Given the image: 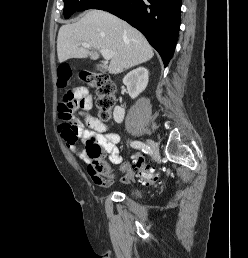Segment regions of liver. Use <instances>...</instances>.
<instances>
[{"mask_svg": "<svg viewBox=\"0 0 248 258\" xmlns=\"http://www.w3.org/2000/svg\"><path fill=\"white\" fill-rule=\"evenodd\" d=\"M88 43L90 48L80 46ZM112 52L108 72L119 74L149 61L153 49L135 28L114 15L101 10H89L74 24L63 25L58 33L57 54L60 63L71 58H99L100 50Z\"/></svg>", "mask_w": 248, "mask_h": 258, "instance_id": "1", "label": "liver"}]
</instances>
